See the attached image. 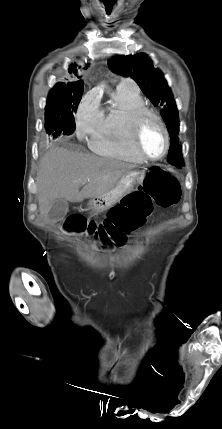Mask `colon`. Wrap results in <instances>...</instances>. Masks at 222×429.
Instances as JSON below:
<instances>
[{"instance_id": "obj_1", "label": "colon", "mask_w": 222, "mask_h": 429, "mask_svg": "<svg viewBox=\"0 0 222 429\" xmlns=\"http://www.w3.org/2000/svg\"><path fill=\"white\" fill-rule=\"evenodd\" d=\"M179 200L180 187L176 177L160 167L152 166L145 171L143 185L113 206L103 221L88 223L83 217L75 215L66 220L65 227L75 232L88 231L98 240H111L113 244L120 245L129 233L145 223L154 204L169 208Z\"/></svg>"}]
</instances>
